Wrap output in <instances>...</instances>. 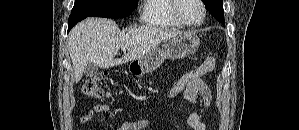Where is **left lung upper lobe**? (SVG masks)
Masks as SVG:
<instances>
[{
  "mask_svg": "<svg viewBox=\"0 0 299 130\" xmlns=\"http://www.w3.org/2000/svg\"><path fill=\"white\" fill-rule=\"evenodd\" d=\"M209 12L222 24H225L223 1L222 0H203Z\"/></svg>",
  "mask_w": 299,
  "mask_h": 130,
  "instance_id": "5c2ea615",
  "label": "left lung upper lobe"
}]
</instances>
